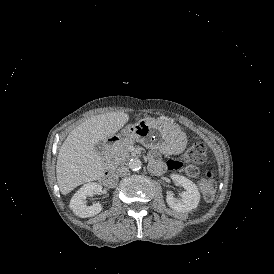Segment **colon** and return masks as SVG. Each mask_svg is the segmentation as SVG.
<instances>
[{
  "instance_id": "1",
  "label": "colon",
  "mask_w": 274,
  "mask_h": 274,
  "mask_svg": "<svg viewBox=\"0 0 274 274\" xmlns=\"http://www.w3.org/2000/svg\"><path fill=\"white\" fill-rule=\"evenodd\" d=\"M206 157L205 145L201 142L193 143L181 156V159L188 162V165H184L177 158L173 159V167L175 169H183L190 175L198 173L197 165L204 162ZM200 186L203 191V195L206 200H212L215 194V178L214 172L211 169L205 171L201 177Z\"/></svg>"
}]
</instances>
